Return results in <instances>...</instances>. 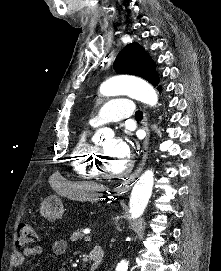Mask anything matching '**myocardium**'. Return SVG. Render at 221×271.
<instances>
[{
    "instance_id": "myocardium-1",
    "label": "myocardium",
    "mask_w": 221,
    "mask_h": 271,
    "mask_svg": "<svg viewBox=\"0 0 221 271\" xmlns=\"http://www.w3.org/2000/svg\"><path fill=\"white\" fill-rule=\"evenodd\" d=\"M106 163H108V158H101L98 169L103 173L104 178L108 177V179H118L119 176L127 175L128 172H134L137 169L136 165H132L136 163V158H129V161H125V165L122 166L123 170H119L118 173L115 170H107Z\"/></svg>"
}]
</instances>
